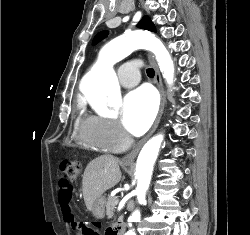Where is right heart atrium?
I'll return each mask as SVG.
<instances>
[{
    "label": "right heart atrium",
    "instance_id": "d8ad5b80",
    "mask_svg": "<svg viewBox=\"0 0 250 235\" xmlns=\"http://www.w3.org/2000/svg\"><path fill=\"white\" fill-rule=\"evenodd\" d=\"M95 135L107 148L120 150L130 143V137L121 125L108 117H95Z\"/></svg>",
    "mask_w": 250,
    "mask_h": 235
}]
</instances>
